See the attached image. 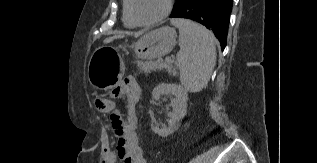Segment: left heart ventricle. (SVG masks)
<instances>
[{"label": "left heart ventricle", "mask_w": 317, "mask_h": 163, "mask_svg": "<svg viewBox=\"0 0 317 163\" xmlns=\"http://www.w3.org/2000/svg\"><path fill=\"white\" fill-rule=\"evenodd\" d=\"M164 5L165 0H133V14L141 21L151 20L162 13Z\"/></svg>", "instance_id": "b2bd125f"}]
</instances>
